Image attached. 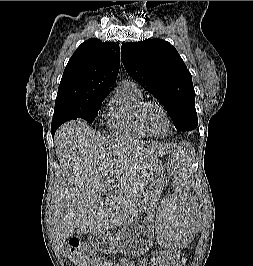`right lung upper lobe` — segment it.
Returning a JSON list of instances; mask_svg holds the SVG:
<instances>
[{
	"label": "right lung upper lobe",
	"mask_w": 253,
	"mask_h": 266,
	"mask_svg": "<svg viewBox=\"0 0 253 266\" xmlns=\"http://www.w3.org/2000/svg\"><path fill=\"white\" fill-rule=\"evenodd\" d=\"M120 65V48L114 42L89 39L70 58L56 97V102L83 100L109 93Z\"/></svg>",
	"instance_id": "1"
}]
</instances>
